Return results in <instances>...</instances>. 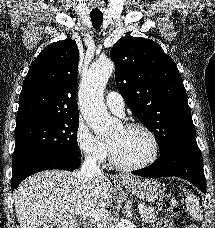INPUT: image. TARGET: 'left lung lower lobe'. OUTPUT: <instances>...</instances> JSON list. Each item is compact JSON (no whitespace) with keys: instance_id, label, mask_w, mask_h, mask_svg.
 Returning a JSON list of instances; mask_svg holds the SVG:
<instances>
[{"instance_id":"obj_1","label":"left lung lower lobe","mask_w":215,"mask_h":228,"mask_svg":"<svg viewBox=\"0 0 215 228\" xmlns=\"http://www.w3.org/2000/svg\"><path fill=\"white\" fill-rule=\"evenodd\" d=\"M143 177L176 176L188 180L206 194V180L195 137L184 139L160 154L151 166L132 172Z\"/></svg>"}]
</instances>
